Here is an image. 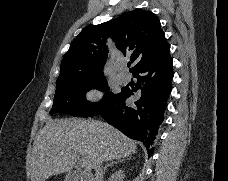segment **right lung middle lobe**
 Returning a JSON list of instances; mask_svg holds the SVG:
<instances>
[{"mask_svg":"<svg viewBox=\"0 0 228 181\" xmlns=\"http://www.w3.org/2000/svg\"><path fill=\"white\" fill-rule=\"evenodd\" d=\"M93 88L108 92L106 78L100 77L58 84L50 113L60 112L74 117H92L102 113L120 96V93L109 92L105 94L101 102L90 103L85 99V93Z\"/></svg>","mask_w":228,"mask_h":181,"instance_id":"1","label":"right lung middle lobe"}]
</instances>
